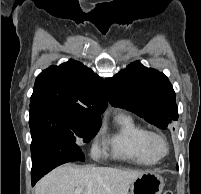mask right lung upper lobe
I'll return each instance as SVG.
<instances>
[{
    "label": "right lung upper lobe",
    "instance_id": "cb5924a9",
    "mask_svg": "<svg viewBox=\"0 0 201 194\" xmlns=\"http://www.w3.org/2000/svg\"><path fill=\"white\" fill-rule=\"evenodd\" d=\"M57 102L80 117L99 118L107 106L103 79L82 63L52 65L36 78L30 105Z\"/></svg>",
    "mask_w": 201,
    "mask_h": 194
}]
</instances>
